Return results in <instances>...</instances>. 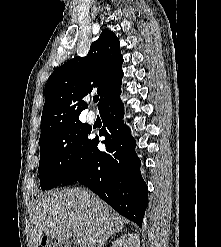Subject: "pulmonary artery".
I'll return each instance as SVG.
<instances>
[{"mask_svg":"<svg viewBox=\"0 0 221 247\" xmlns=\"http://www.w3.org/2000/svg\"><path fill=\"white\" fill-rule=\"evenodd\" d=\"M87 119L89 122H93L94 119H95V114L93 112H89L88 115H87Z\"/></svg>","mask_w":221,"mask_h":247,"instance_id":"e3ab8cb5","label":"pulmonary artery"}]
</instances>
